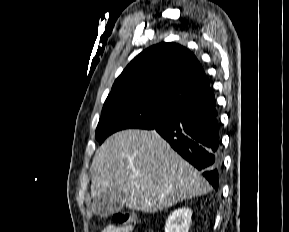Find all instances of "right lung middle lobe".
Segmentation results:
<instances>
[{"label": "right lung middle lobe", "mask_w": 289, "mask_h": 232, "mask_svg": "<svg viewBox=\"0 0 289 232\" xmlns=\"http://www.w3.org/2000/svg\"><path fill=\"white\" fill-rule=\"evenodd\" d=\"M179 110L143 97L108 98L104 103L95 137L101 144L109 135L119 130L154 129L175 119Z\"/></svg>", "instance_id": "right-lung-middle-lobe-1"}]
</instances>
